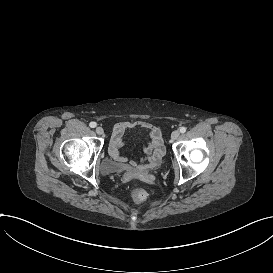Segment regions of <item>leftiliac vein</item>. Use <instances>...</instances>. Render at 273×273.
Returning <instances> with one entry per match:
<instances>
[{"label": "left iliac vein", "mask_w": 273, "mask_h": 273, "mask_svg": "<svg viewBox=\"0 0 273 273\" xmlns=\"http://www.w3.org/2000/svg\"><path fill=\"white\" fill-rule=\"evenodd\" d=\"M179 136H180V132H179L178 130H174V131L172 132L171 137H172L173 140L178 139Z\"/></svg>", "instance_id": "1"}]
</instances>
